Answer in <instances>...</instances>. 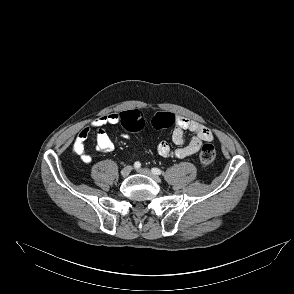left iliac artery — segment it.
Instances as JSON below:
<instances>
[{"instance_id":"obj_1","label":"left iliac artery","mask_w":294,"mask_h":294,"mask_svg":"<svg viewBox=\"0 0 294 294\" xmlns=\"http://www.w3.org/2000/svg\"><path fill=\"white\" fill-rule=\"evenodd\" d=\"M152 173H154L156 175H160V174H162V171L159 168H152Z\"/></svg>"}]
</instances>
